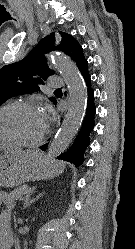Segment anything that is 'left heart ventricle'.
<instances>
[{"instance_id":"1","label":"left heart ventricle","mask_w":135,"mask_h":249,"mask_svg":"<svg viewBox=\"0 0 135 249\" xmlns=\"http://www.w3.org/2000/svg\"><path fill=\"white\" fill-rule=\"evenodd\" d=\"M44 126L40 110L15 106L0 113V137L32 141L40 136Z\"/></svg>"}]
</instances>
